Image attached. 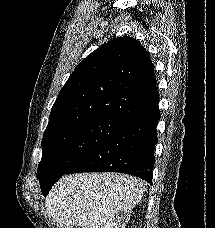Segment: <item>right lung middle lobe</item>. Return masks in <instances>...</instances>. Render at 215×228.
Segmentation results:
<instances>
[{
    "mask_svg": "<svg viewBox=\"0 0 215 228\" xmlns=\"http://www.w3.org/2000/svg\"><path fill=\"white\" fill-rule=\"evenodd\" d=\"M126 121L100 116L44 134L37 177L44 196L54 183Z\"/></svg>",
    "mask_w": 215,
    "mask_h": 228,
    "instance_id": "dd1d6c3e",
    "label": "right lung middle lobe"
}]
</instances>
